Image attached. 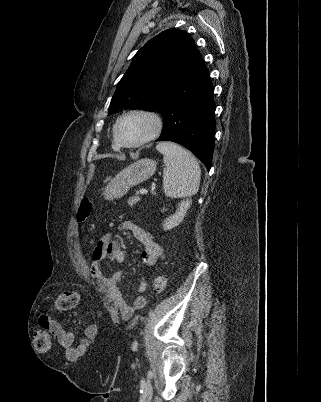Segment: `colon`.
I'll use <instances>...</instances> for the list:
<instances>
[{
    "mask_svg": "<svg viewBox=\"0 0 321 402\" xmlns=\"http://www.w3.org/2000/svg\"><path fill=\"white\" fill-rule=\"evenodd\" d=\"M93 202L89 198H83L80 201L76 219L79 223L85 222L91 215ZM167 279L159 275L154 279L153 288L156 293H161L166 288ZM79 296L75 290H66L59 294L56 300V308L60 312L71 311L78 305ZM36 349L39 351H48L52 346V337L45 330H38L34 336Z\"/></svg>",
    "mask_w": 321,
    "mask_h": 402,
    "instance_id": "colon-1",
    "label": "colon"
}]
</instances>
